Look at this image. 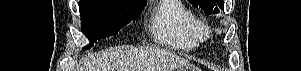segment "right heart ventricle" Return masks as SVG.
<instances>
[{"mask_svg":"<svg viewBox=\"0 0 301 71\" xmlns=\"http://www.w3.org/2000/svg\"><path fill=\"white\" fill-rule=\"evenodd\" d=\"M196 18L181 1L167 0L158 5L150 20L154 40L178 50H193L200 44L196 32Z\"/></svg>","mask_w":301,"mask_h":71,"instance_id":"obj_1","label":"right heart ventricle"}]
</instances>
